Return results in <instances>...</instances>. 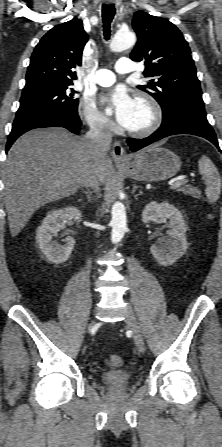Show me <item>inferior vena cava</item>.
Here are the masks:
<instances>
[{"mask_svg": "<svg viewBox=\"0 0 222 447\" xmlns=\"http://www.w3.org/2000/svg\"><path fill=\"white\" fill-rule=\"evenodd\" d=\"M85 139L89 143L94 167L83 177L82 181L84 186L91 187L99 197L101 182L98 175V165L110 150L112 132L104 123L95 121L90 124V130L86 133Z\"/></svg>", "mask_w": 222, "mask_h": 447, "instance_id": "inferior-vena-cava-1", "label": "inferior vena cava"}]
</instances>
